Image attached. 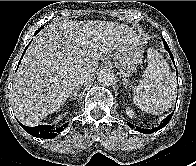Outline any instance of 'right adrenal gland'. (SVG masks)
<instances>
[{"instance_id":"2a0ac1e0","label":"right adrenal gland","mask_w":196,"mask_h":166,"mask_svg":"<svg viewBox=\"0 0 196 166\" xmlns=\"http://www.w3.org/2000/svg\"><path fill=\"white\" fill-rule=\"evenodd\" d=\"M79 89H80V87H78V86L75 88V91H74L73 95L69 97V100L76 99V97L78 96Z\"/></svg>"}]
</instances>
